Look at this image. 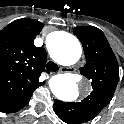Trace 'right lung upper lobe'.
I'll list each match as a JSON object with an SVG mask.
<instances>
[{
	"label": "right lung upper lobe",
	"mask_w": 124,
	"mask_h": 124,
	"mask_svg": "<svg viewBox=\"0 0 124 124\" xmlns=\"http://www.w3.org/2000/svg\"><path fill=\"white\" fill-rule=\"evenodd\" d=\"M43 26L35 19H19L0 31V112L19 111L44 84L39 77L45 71L46 51L34 45Z\"/></svg>",
	"instance_id": "obj_1"
}]
</instances>
